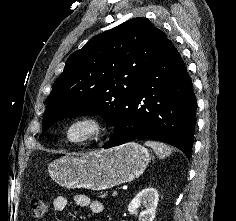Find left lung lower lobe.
Wrapping results in <instances>:
<instances>
[{"label": "left lung lower lobe", "mask_w": 236, "mask_h": 221, "mask_svg": "<svg viewBox=\"0 0 236 221\" xmlns=\"http://www.w3.org/2000/svg\"><path fill=\"white\" fill-rule=\"evenodd\" d=\"M196 108L192 81L167 38L140 76L104 148L148 138L173 145L190 158Z\"/></svg>", "instance_id": "left-lung-lower-lobe-1"}]
</instances>
